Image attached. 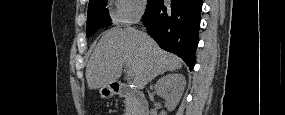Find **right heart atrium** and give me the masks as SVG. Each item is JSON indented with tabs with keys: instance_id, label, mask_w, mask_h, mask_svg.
<instances>
[{
	"instance_id": "1",
	"label": "right heart atrium",
	"mask_w": 285,
	"mask_h": 115,
	"mask_svg": "<svg viewBox=\"0 0 285 115\" xmlns=\"http://www.w3.org/2000/svg\"><path fill=\"white\" fill-rule=\"evenodd\" d=\"M144 9L145 2L142 0H118L114 17L120 24H132L140 19Z\"/></svg>"
}]
</instances>
